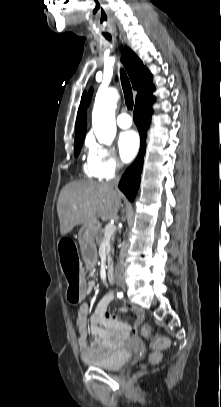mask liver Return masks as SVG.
Masks as SVG:
<instances>
[{"mask_svg":"<svg viewBox=\"0 0 221 407\" xmlns=\"http://www.w3.org/2000/svg\"><path fill=\"white\" fill-rule=\"evenodd\" d=\"M121 196L109 183L74 181L60 192L57 214L61 235L80 224L113 219L121 207Z\"/></svg>","mask_w":221,"mask_h":407,"instance_id":"obj_1","label":"liver"}]
</instances>
